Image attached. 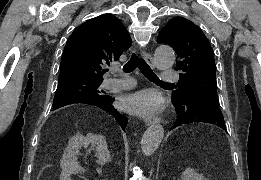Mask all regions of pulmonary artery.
Masks as SVG:
<instances>
[{"instance_id": "obj_1", "label": "pulmonary artery", "mask_w": 261, "mask_h": 180, "mask_svg": "<svg viewBox=\"0 0 261 180\" xmlns=\"http://www.w3.org/2000/svg\"><path fill=\"white\" fill-rule=\"evenodd\" d=\"M112 73L114 74L111 78H106L103 81V86L112 89V90H120L128 87L130 85V79H121L116 78L121 75L119 69H113ZM162 77H180V72H162ZM161 83H178V78H161Z\"/></svg>"}]
</instances>
